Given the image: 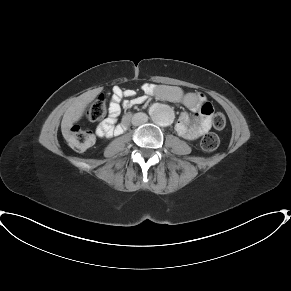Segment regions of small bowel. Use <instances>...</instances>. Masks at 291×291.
<instances>
[{
	"instance_id": "c3829d8e",
	"label": "small bowel",
	"mask_w": 291,
	"mask_h": 291,
	"mask_svg": "<svg viewBox=\"0 0 291 291\" xmlns=\"http://www.w3.org/2000/svg\"><path fill=\"white\" fill-rule=\"evenodd\" d=\"M145 95L156 96L162 100L181 103L194 113L191 119L188 113L179 115L174 128L175 131L186 140H196L206 134L212 125L211 118L205 113L209 103L205 95L200 92H184L180 87L174 85H152L145 84L142 87ZM122 98H126L121 102ZM143 97L137 96L132 89H122L118 86L112 89V96L109 104V115L105 121L96 127V133L100 137H110L123 133L125 120L116 125L118 116L121 113V106L131 107L143 102Z\"/></svg>"
}]
</instances>
